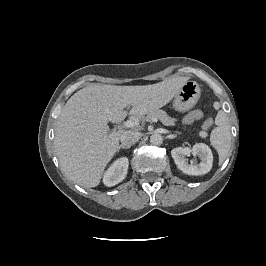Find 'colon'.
Returning <instances> with one entry per match:
<instances>
[{
  "instance_id": "5ec220e1",
  "label": "colon",
  "mask_w": 266,
  "mask_h": 266,
  "mask_svg": "<svg viewBox=\"0 0 266 266\" xmlns=\"http://www.w3.org/2000/svg\"><path fill=\"white\" fill-rule=\"evenodd\" d=\"M203 117V112L200 111V110H194L192 112H190L186 118H185V121L187 123H191L195 120H199ZM212 125V120L211 119H206L204 122H203V128L204 129H208L210 126Z\"/></svg>"
}]
</instances>
